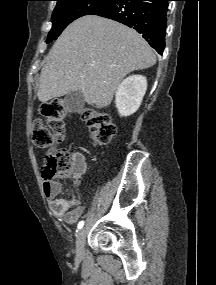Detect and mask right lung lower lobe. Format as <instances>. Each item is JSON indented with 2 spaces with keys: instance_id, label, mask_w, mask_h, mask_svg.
Returning <instances> with one entry per match:
<instances>
[{
  "instance_id": "1",
  "label": "right lung lower lobe",
  "mask_w": 216,
  "mask_h": 285,
  "mask_svg": "<svg viewBox=\"0 0 216 285\" xmlns=\"http://www.w3.org/2000/svg\"><path fill=\"white\" fill-rule=\"evenodd\" d=\"M168 1L170 0H112L90 14L133 27L162 55L165 47Z\"/></svg>"
}]
</instances>
